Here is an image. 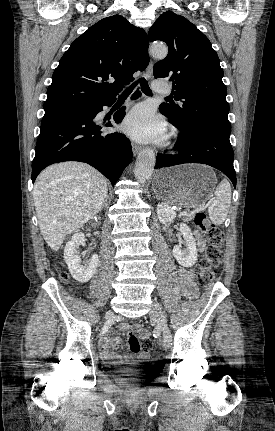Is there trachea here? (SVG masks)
Returning a JSON list of instances; mask_svg holds the SVG:
<instances>
[{"instance_id":"3493384b","label":"trachea","mask_w":275,"mask_h":431,"mask_svg":"<svg viewBox=\"0 0 275 431\" xmlns=\"http://www.w3.org/2000/svg\"><path fill=\"white\" fill-rule=\"evenodd\" d=\"M140 83L141 85V90L144 94L146 95H152V91L149 88L148 82L145 80V78H140L138 79L136 82H134L128 89H126L125 91L122 92V94L120 95V97H125L128 96L133 88Z\"/></svg>"}]
</instances>
